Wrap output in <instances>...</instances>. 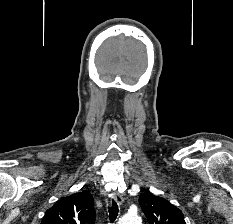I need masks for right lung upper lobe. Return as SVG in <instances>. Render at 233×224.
Here are the masks:
<instances>
[{
  "mask_svg": "<svg viewBox=\"0 0 233 224\" xmlns=\"http://www.w3.org/2000/svg\"><path fill=\"white\" fill-rule=\"evenodd\" d=\"M94 199L82 191L60 199L49 208L41 224H94Z\"/></svg>",
  "mask_w": 233,
  "mask_h": 224,
  "instance_id": "cb5924a9",
  "label": "right lung upper lobe"
}]
</instances>
